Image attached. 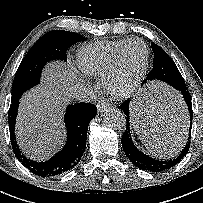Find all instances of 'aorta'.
I'll use <instances>...</instances> for the list:
<instances>
[{
  "label": "aorta",
  "instance_id": "aorta-1",
  "mask_svg": "<svg viewBox=\"0 0 203 203\" xmlns=\"http://www.w3.org/2000/svg\"><path fill=\"white\" fill-rule=\"evenodd\" d=\"M103 121L109 128L114 130H121L126 126L124 114L115 108H108L104 111Z\"/></svg>",
  "mask_w": 203,
  "mask_h": 203
}]
</instances>
